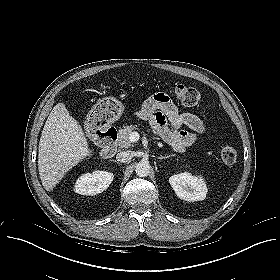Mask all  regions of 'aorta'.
<instances>
[{
	"instance_id": "762f6f07",
	"label": "aorta",
	"mask_w": 280,
	"mask_h": 280,
	"mask_svg": "<svg viewBox=\"0 0 280 280\" xmlns=\"http://www.w3.org/2000/svg\"><path fill=\"white\" fill-rule=\"evenodd\" d=\"M150 168L151 167H150L149 162L140 161L137 163L135 171L139 177H146L150 173Z\"/></svg>"
}]
</instances>
